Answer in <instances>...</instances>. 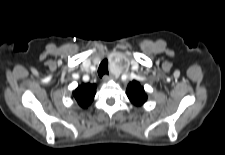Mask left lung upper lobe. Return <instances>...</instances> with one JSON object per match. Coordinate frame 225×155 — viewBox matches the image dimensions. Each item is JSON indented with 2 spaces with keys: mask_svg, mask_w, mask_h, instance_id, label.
Instances as JSON below:
<instances>
[{
  "mask_svg": "<svg viewBox=\"0 0 225 155\" xmlns=\"http://www.w3.org/2000/svg\"><path fill=\"white\" fill-rule=\"evenodd\" d=\"M127 96L136 106H142L147 101V95L143 86L137 81H132L127 87Z\"/></svg>",
  "mask_w": 225,
  "mask_h": 155,
  "instance_id": "left-lung-upper-lobe-1",
  "label": "left lung upper lobe"
}]
</instances>
